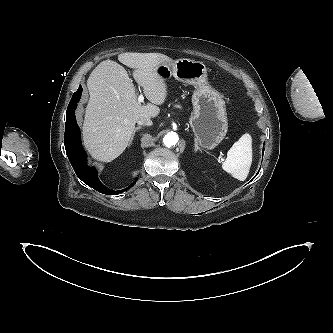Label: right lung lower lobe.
Segmentation results:
<instances>
[{
	"label": "right lung lower lobe",
	"mask_w": 333,
	"mask_h": 333,
	"mask_svg": "<svg viewBox=\"0 0 333 333\" xmlns=\"http://www.w3.org/2000/svg\"><path fill=\"white\" fill-rule=\"evenodd\" d=\"M82 94V87L73 94L66 111L64 145L68 159L78 176L85 184L103 194H118L126 189L112 191L107 189L98 179V172L95 167H89L86 163V153L81 145L80 130L75 118V109ZM135 184L129 186L132 187Z\"/></svg>",
	"instance_id": "right-lung-lower-lobe-1"
}]
</instances>
